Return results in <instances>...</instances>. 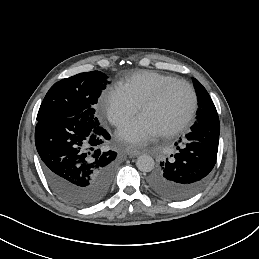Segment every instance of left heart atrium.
Wrapping results in <instances>:
<instances>
[{
	"label": "left heart atrium",
	"mask_w": 259,
	"mask_h": 259,
	"mask_svg": "<svg viewBox=\"0 0 259 259\" xmlns=\"http://www.w3.org/2000/svg\"><path fill=\"white\" fill-rule=\"evenodd\" d=\"M159 133L149 127L141 118L133 119L120 127L118 136L132 144L142 145Z\"/></svg>",
	"instance_id": "obj_1"
}]
</instances>
